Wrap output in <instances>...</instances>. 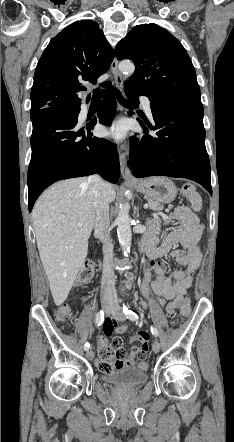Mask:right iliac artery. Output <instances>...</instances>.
I'll list each match as a JSON object with an SVG mask.
<instances>
[{"instance_id":"right-iliac-artery-1","label":"right iliac artery","mask_w":234,"mask_h":442,"mask_svg":"<svg viewBox=\"0 0 234 442\" xmlns=\"http://www.w3.org/2000/svg\"><path fill=\"white\" fill-rule=\"evenodd\" d=\"M104 321V312L100 311L96 314V318H95V323L100 326L102 324V322ZM90 347V344L87 342L84 345V349L88 350Z\"/></svg>"}]
</instances>
